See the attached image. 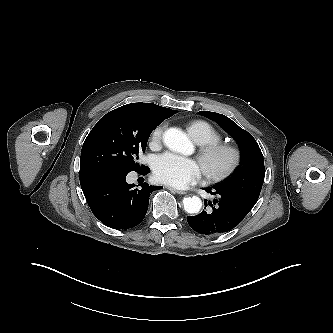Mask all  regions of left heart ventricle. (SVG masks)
Returning a JSON list of instances; mask_svg holds the SVG:
<instances>
[{"label":"left heart ventricle","instance_id":"left-heart-ventricle-1","mask_svg":"<svg viewBox=\"0 0 333 333\" xmlns=\"http://www.w3.org/2000/svg\"><path fill=\"white\" fill-rule=\"evenodd\" d=\"M227 160H228V157L226 155L218 156L217 158H215L213 160L212 167L214 169H219L226 164Z\"/></svg>","mask_w":333,"mask_h":333}]
</instances>
